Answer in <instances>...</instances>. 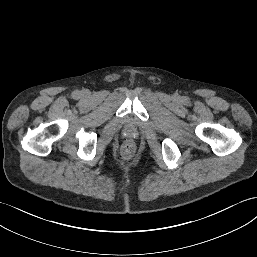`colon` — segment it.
Listing matches in <instances>:
<instances>
[{
  "label": "colon",
  "instance_id": "5ec220e1",
  "mask_svg": "<svg viewBox=\"0 0 257 257\" xmlns=\"http://www.w3.org/2000/svg\"><path fill=\"white\" fill-rule=\"evenodd\" d=\"M134 153V148L133 145L130 143H127L126 145H124L123 149H122V157L125 159H129L132 157Z\"/></svg>",
  "mask_w": 257,
  "mask_h": 257
}]
</instances>
